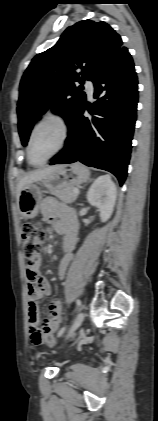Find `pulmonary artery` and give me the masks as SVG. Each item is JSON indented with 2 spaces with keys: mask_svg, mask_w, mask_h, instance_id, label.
I'll use <instances>...</instances> for the list:
<instances>
[{
  "mask_svg": "<svg viewBox=\"0 0 158 421\" xmlns=\"http://www.w3.org/2000/svg\"><path fill=\"white\" fill-rule=\"evenodd\" d=\"M85 88H86V91H87L88 96L90 98H92L93 97V94H94V91H95L94 83L92 81H88L85 84Z\"/></svg>",
  "mask_w": 158,
  "mask_h": 421,
  "instance_id": "obj_1",
  "label": "pulmonary artery"
}]
</instances>
